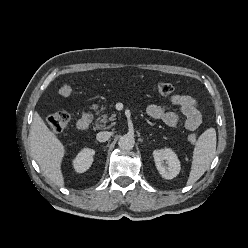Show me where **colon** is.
I'll use <instances>...</instances> for the list:
<instances>
[{"label":"colon","mask_w":248,"mask_h":248,"mask_svg":"<svg viewBox=\"0 0 248 248\" xmlns=\"http://www.w3.org/2000/svg\"><path fill=\"white\" fill-rule=\"evenodd\" d=\"M156 90L160 95H170L174 91V87L171 83L162 82L157 84ZM59 93L63 97H68L72 93V87L69 84H64L59 89ZM70 121V116L65 111H58L50 116H48L46 120L47 127L49 130L54 133L58 134L62 132L68 126ZM188 140L190 143L195 144L197 141V136L193 133L188 135Z\"/></svg>","instance_id":"5ec220e1"}]
</instances>
